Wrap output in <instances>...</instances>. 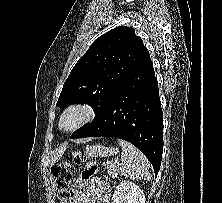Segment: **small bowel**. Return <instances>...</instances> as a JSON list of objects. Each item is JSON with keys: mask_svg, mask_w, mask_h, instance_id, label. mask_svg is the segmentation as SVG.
Here are the masks:
<instances>
[{"mask_svg": "<svg viewBox=\"0 0 222 203\" xmlns=\"http://www.w3.org/2000/svg\"><path fill=\"white\" fill-rule=\"evenodd\" d=\"M110 187L98 180L80 181L73 192L72 203H109Z\"/></svg>", "mask_w": 222, "mask_h": 203, "instance_id": "obj_1", "label": "small bowel"}]
</instances>
